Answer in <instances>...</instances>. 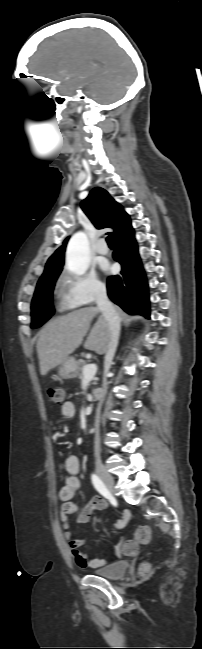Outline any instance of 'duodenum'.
<instances>
[{
  "instance_id": "duodenum-1",
  "label": "duodenum",
  "mask_w": 202,
  "mask_h": 649,
  "mask_svg": "<svg viewBox=\"0 0 202 649\" xmlns=\"http://www.w3.org/2000/svg\"><path fill=\"white\" fill-rule=\"evenodd\" d=\"M102 397H103V395H102L101 393H96V394H94V398H95L96 401L101 400Z\"/></svg>"
}]
</instances>
